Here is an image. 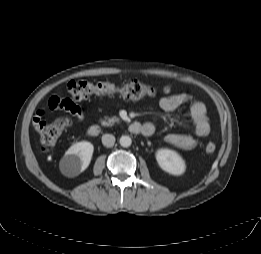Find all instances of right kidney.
Wrapping results in <instances>:
<instances>
[{
  "label": "right kidney",
  "mask_w": 261,
  "mask_h": 254,
  "mask_svg": "<svg viewBox=\"0 0 261 254\" xmlns=\"http://www.w3.org/2000/svg\"><path fill=\"white\" fill-rule=\"evenodd\" d=\"M94 147L88 141L73 144L62 159L63 170L68 176H75L84 171L90 164Z\"/></svg>",
  "instance_id": "1"
}]
</instances>
